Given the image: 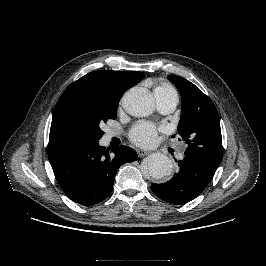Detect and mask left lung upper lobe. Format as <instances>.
I'll list each match as a JSON object with an SVG mask.
<instances>
[{"label": "left lung upper lobe", "mask_w": 266, "mask_h": 266, "mask_svg": "<svg viewBox=\"0 0 266 266\" xmlns=\"http://www.w3.org/2000/svg\"><path fill=\"white\" fill-rule=\"evenodd\" d=\"M168 79L181 94L178 132L188 144L185 156L217 169L222 161L223 149L219 115L214 103L188 80L172 75Z\"/></svg>", "instance_id": "1"}]
</instances>
